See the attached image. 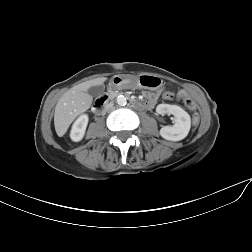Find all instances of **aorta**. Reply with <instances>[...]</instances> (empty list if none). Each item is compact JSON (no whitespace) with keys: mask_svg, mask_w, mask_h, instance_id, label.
<instances>
[{"mask_svg":"<svg viewBox=\"0 0 252 252\" xmlns=\"http://www.w3.org/2000/svg\"><path fill=\"white\" fill-rule=\"evenodd\" d=\"M116 102H117L118 105L124 106L127 103V99H126V97L124 95H119L117 97V99H116Z\"/></svg>","mask_w":252,"mask_h":252,"instance_id":"obj_1","label":"aorta"}]
</instances>
